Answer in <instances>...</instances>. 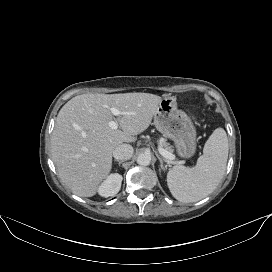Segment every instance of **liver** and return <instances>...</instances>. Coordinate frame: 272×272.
<instances>
[{
    "label": "liver",
    "mask_w": 272,
    "mask_h": 272,
    "mask_svg": "<svg viewBox=\"0 0 272 272\" xmlns=\"http://www.w3.org/2000/svg\"><path fill=\"white\" fill-rule=\"evenodd\" d=\"M162 98L150 93L82 94L59 111L51 137L62 182L80 197L96 194L112 168L114 149L145 131ZM111 108L120 111L116 118ZM115 121L120 129L108 123Z\"/></svg>",
    "instance_id": "6515ba94"
}]
</instances>
